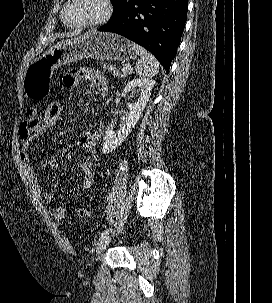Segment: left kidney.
<instances>
[{
	"instance_id": "1",
	"label": "left kidney",
	"mask_w": 272,
	"mask_h": 303,
	"mask_svg": "<svg viewBox=\"0 0 272 303\" xmlns=\"http://www.w3.org/2000/svg\"><path fill=\"white\" fill-rule=\"evenodd\" d=\"M155 85V81L153 79H133L129 81L125 87L124 92H129L135 88L140 91V96L138 100L129 104L128 110L125 120L119 130L114 131V125L110 124L105 132L102 153L108 154L115 150L118 146L122 144L125 138L132 131V128L135 127L139 118L141 117L147 102L149 101V97L151 95L152 88Z\"/></svg>"
}]
</instances>
